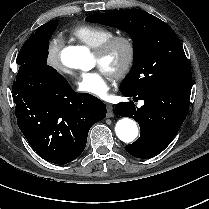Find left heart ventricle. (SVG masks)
Listing matches in <instances>:
<instances>
[{
  "label": "left heart ventricle",
  "mask_w": 209,
  "mask_h": 209,
  "mask_svg": "<svg viewBox=\"0 0 209 209\" xmlns=\"http://www.w3.org/2000/svg\"><path fill=\"white\" fill-rule=\"evenodd\" d=\"M125 57V49L122 46L117 47L111 54L110 58L104 62H100L96 56H94V64L101 67L107 74L116 69Z\"/></svg>",
  "instance_id": "1"
}]
</instances>
